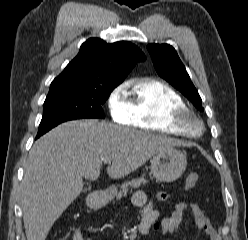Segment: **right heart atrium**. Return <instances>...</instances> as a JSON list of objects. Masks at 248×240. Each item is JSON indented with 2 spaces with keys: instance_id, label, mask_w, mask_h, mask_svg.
<instances>
[{
  "instance_id": "right-heart-atrium-1",
  "label": "right heart atrium",
  "mask_w": 248,
  "mask_h": 240,
  "mask_svg": "<svg viewBox=\"0 0 248 240\" xmlns=\"http://www.w3.org/2000/svg\"><path fill=\"white\" fill-rule=\"evenodd\" d=\"M126 84L121 83L108 94L106 104L111 118L120 124L132 125L133 115L126 95Z\"/></svg>"
}]
</instances>
